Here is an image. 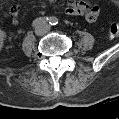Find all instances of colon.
<instances>
[{
	"label": "colon",
	"instance_id": "colon-1",
	"mask_svg": "<svg viewBox=\"0 0 119 119\" xmlns=\"http://www.w3.org/2000/svg\"><path fill=\"white\" fill-rule=\"evenodd\" d=\"M108 36L110 39H116L119 36V26L117 24L113 23L110 25Z\"/></svg>",
	"mask_w": 119,
	"mask_h": 119
}]
</instances>
